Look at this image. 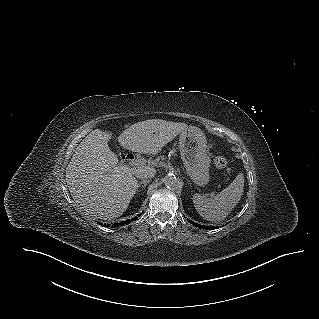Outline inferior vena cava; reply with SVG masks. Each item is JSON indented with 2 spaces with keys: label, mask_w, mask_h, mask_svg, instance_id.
Masks as SVG:
<instances>
[{
  "label": "inferior vena cava",
  "mask_w": 319,
  "mask_h": 319,
  "mask_svg": "<svg viewBox=\"0 0 319 319\" xmlns=\"http://www.w3.org/2000/svg\"><path fill=\"white\" fill-rule=\"evenodd\" d=\"M155 169H142L136 173L138 179L146 180L155 176Z\"/></svg>",
  "instance_id": "inferior-vena-cava-1"
}]
</instances>
